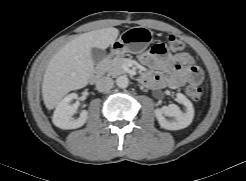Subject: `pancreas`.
I'll list each match as a JSON object with an SVG mask.
<instances>
[{"label": "pancreas", "mask_w": 246, "mask_h": 181, "mask_svg": "<svg viewBox=\"0 0 246 181\" xmlns=\"http://www.w3.org/2000/svg\"><path fill=\"white\" fill-rule=\"evenodd\" d=\"M99 69L102 73H107L109 76L113 77L126 73L122 56H117L113 59H105Z\"/></svg>", "instance_id": "obj_1"}]
</instances>
